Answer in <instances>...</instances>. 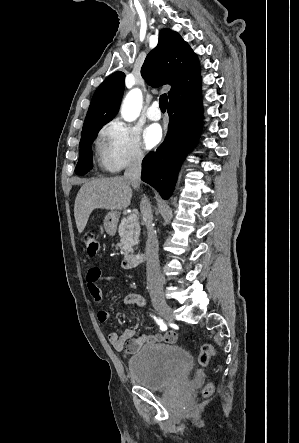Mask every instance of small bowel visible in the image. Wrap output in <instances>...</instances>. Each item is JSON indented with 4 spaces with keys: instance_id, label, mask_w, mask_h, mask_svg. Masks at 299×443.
Here are the masks:
<instances>
[{
    "instance_id": "1",
    "label": "small bowel",
    "mask_w": 299,
    "mask_h": 443,
    "mask_svg": "<svg viewBox=\"0 0 299 443\" xmlns=\"http://www.w3.org/2000/svg\"><path fill=\"white\" fill-rule=\"evenodd\" d=\"M102 279V274L99 268H91L87 273V288L88 292L97 305H102V292L98 286V282ZM124 303L126 305H136L138 307H147L146 299L139 293H129L125 296ZM97 318L100 322H106L110 318V314L103 308L97 312ZM135 332L131 328H127L123 333L110 332L108 340L118 352H123L125 356H129L141 347L148 344L168 343L172 344L177 340L175 332L170 331L164 334L159 333H143L134 337Z\"/></svg>"
}]
</instances>
